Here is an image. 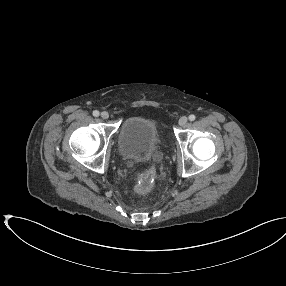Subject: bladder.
Here are the masks:
<instances>
[{
	"mask_svg": "<svg viewBox=\"0 0 286 286\" xmlns=\"http://www.w3.org/2000/svg\"><path fill=\"white\" fill-rule=\"evenodd\" d=\"M118 147L128 161L143 162L159 156L160 137L155 122L146 116H130L123 120Z\"/></svg>",
	"mask_w": 286,
	"mask_h": 286,
	"instance_id": "1",
	"label": "bladder"
}]
</instances>
